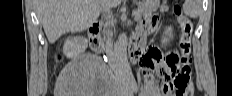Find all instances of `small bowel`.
I'll use <instances>...</instances> for the list:
<instances>
[{
	"mask_svg": "<svg viewBox=\"0 0 232 96\" xmlns=\"http://www.w3.org/2000/svg\"><path fill=\"white\" fill-rule=\"evenodd\" d=\"M147 14L145 25H140V30H132V35H140V38H130V43H151V38H144L145 35H158L159 32H173L175 30L173 27H161L160 24H163V13L161 11L159 13H157V11H148ZM162 59L163 54L158 49H152L141 54V68L146 83L150 84L152 82L154 71L158 72L163 77V70L166 65L162 63ZM189 85L192 88L193 84L190 80V74ZM161 93L164 96L170 95L165 83H163L161 87Z\"/></svg>",
	"mask_w": 232,
	"mask_h": 96,
	"instance_id": "c3829d8e",
	"label": "small bowel"
}]
</instances>
